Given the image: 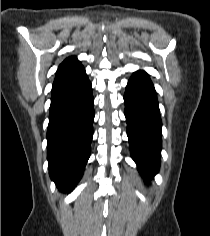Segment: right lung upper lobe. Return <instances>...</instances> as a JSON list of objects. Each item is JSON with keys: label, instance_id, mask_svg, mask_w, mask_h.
Here are the masks:
<instances>
[{"label": "right lung upper lobe", "instance_id": "cb5924a9", "mask_svg": "<svg viewBox=\"0 0 210 236\" xmlns=\"http://www.w3.org/2000/svg\"><path fill=\"white\" fill-rule=\"evenodd\" d=\"M80 62L77 60V58L75 56L72 57H68L67 59H65L62 64L59 66L57 72L63 71L65 69H68L70 67H73L77 64H79Z\"/></svg>", "mask_w": 210, "mask_h": 236}]
</instances>
